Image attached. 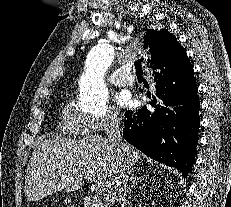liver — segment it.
I'll return each mask as SVG.
<instances>
[{
	"label": "liver",
	"instance_id": "6515ba94",
	"mask_svg": "<svg viewBox=\"0 0 231 207\" xmlns=\"http://www.w3.org/2000/svg\"><path fill=\"white\" fill-rule=\"evenodd\" d=\"M141 152L122 141L119 152L107 138L91 136L68 139L59 136L43 138L34 149L25 176L28 201H38L56 191L79 190L84 178H91L105 191L106 202L115 204L116 179L123 170L135 166Z\"/></svg>",
	"mask_w": 231,
	"mask_h": 207
}]
</instances>
